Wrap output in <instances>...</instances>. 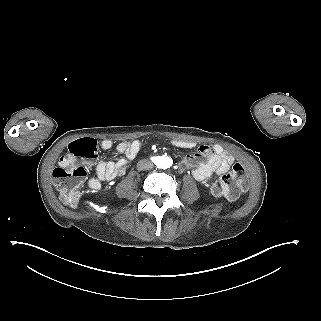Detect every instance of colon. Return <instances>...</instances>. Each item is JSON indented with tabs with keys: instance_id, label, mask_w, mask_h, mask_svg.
Masks as SVG:
<instances>
[{
	"instance_id": "colon-1",
	"label": "colon",
	"mask_w": 321,
	"mask_h": 321,
	"mask_svg": "<svg viewBox=\"0 0 321 321\" xmlns=\"http://www.w3.org/2000/svg\"><path fill=\"white\" fill-rule=\"evenodd\" d=\"M98 156L96 141L92 138L77 140L69 144L67 151L60 157L58 166L53 170L55 186L61 193L65 204L77 206L86 180V170L78 163L81 160H93ZM248 179L244 167L236 163L224 176L212 183V191L230 200H237L246 189Z\"/></svg>"
}]
</instances>
